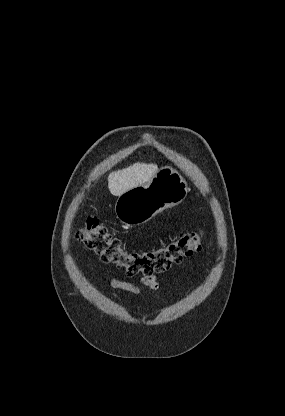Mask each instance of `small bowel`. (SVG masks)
I'll return each instance as SVG.
<instances>
[{"label":"small bowel","mask_w":285,"mask_h":416,"mask_svg":"<svg viewBox=\"0 0 285 416\" xmlns=\"http://www.w3.org/2000/svg\"><path fill=\"white\" fill-rule=\"evenodd\" d=\"M109 284L113 288L123 289L135 295H142V289L139 286L129 283L127 281L111 278ZM141 284L153 292H156L159 289V284L154 276L142 277ZM111 296L115 298L114 295Z\"/></svg>","instance_id":"obj_1"}]
</instances>
